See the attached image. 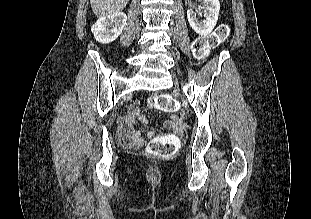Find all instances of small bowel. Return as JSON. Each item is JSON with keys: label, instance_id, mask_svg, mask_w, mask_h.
Masks as SVG:
<instances>
[{"label": "small bowel", "instance_id": "c3829d8e", "mask_svg": "<svg viewBox=\"0 0 311 219\" xmlns=\"http://www.w3.org/2000/svg\"><path fill=\"white\" fill-rule=\"evenodd\" d=\"M131 113H132V116L126 117L124 119V123L126 126L131 127L135 122H139V123L146 122L144 115L139 110V103L137 101L132 104ZM170 128L172 129L174 133L179 134L182 132V128L179 126V124L176 121H174L170 125ZM138 137H139V134L134 133V134H126L124 138L127 142H129L131 139H137Z\"/></svg>", "mask_w": 311, "mask_h": 219}]
</instances>
